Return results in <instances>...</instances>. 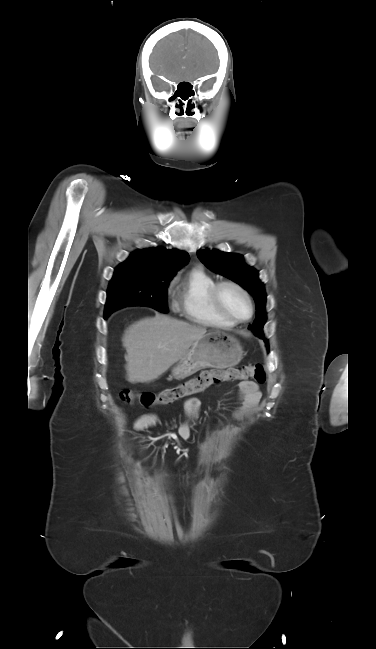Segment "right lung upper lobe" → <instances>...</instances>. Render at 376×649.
I'll return each instance as SVG.
<instances>
[{"label":"right lung upper lobe","instance_id":"obj_1","mask_svg":"<svg viewBox=\"0 0 376 649\" xmlns=\"http://www.w3.org/2000/svg\"><path fill=\"white\" fill-rule=\"evenodd\" d=\"M189 260L186 252L167 250L162 247L137 250L125 262H130L149 274L172 273L179 270Z\"/></svg>","mask_w":376,"mask_h":649}]
</instances>
